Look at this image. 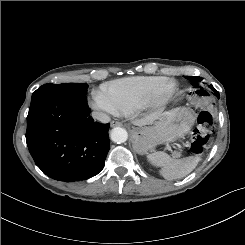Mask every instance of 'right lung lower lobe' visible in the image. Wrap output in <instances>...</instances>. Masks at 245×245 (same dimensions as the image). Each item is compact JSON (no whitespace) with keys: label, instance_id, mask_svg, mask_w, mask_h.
<instances>
[{"label":"right lung lower lobe","instance_id":"1","mask_svg":"<svg viewBox=\"0 0 245 245\" xmlns=\"http://www.w3.org/2000/svg\"><path fill=\"white\" fill-rule=\"evenodd\" d=\"M86 97L47 95L31 102L26 143L47 176L65 182L86 180L105 165L109 124L89 118Z\"/></svg>","mask_w":245,"mask_h":245}]
</instances>
